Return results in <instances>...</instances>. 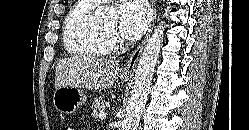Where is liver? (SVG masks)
Wrapping results in <instances>:
<instances>
[{
  "mask_svg": "<svg viewBox=\"0 0 249 130\" xmlns=\"http://www.w3.org/2000/svg\"><path fill=\"white\" fill-rule=\"evenodd\" d=\"M120 72L117 62L95 56H74L56 66L55 89L63 86L104 90L110 88Z\"/></svg>",
  "mask_w": 249,
  "mask_h": 130,
  "instance_id": "liver-1",
  "label": "liver"
}]
</instances>
